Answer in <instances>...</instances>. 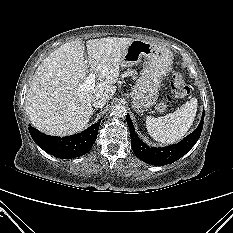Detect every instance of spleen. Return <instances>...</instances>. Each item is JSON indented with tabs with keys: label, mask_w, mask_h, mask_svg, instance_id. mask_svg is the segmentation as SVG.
I'll use <instances>...</instances> for the list:
<instances>
[{
	"label": "spleen",
	"mask_w": 233,
	"mask_h": 233,
	"mask_svg": "<svg viewBox=\"0 0 233 233\" xmlns=\"http://www.w3.org/2000/svg\"><path fill=\"white\" fill-rule=\"evenodd\" d=\"M197 106V99L192 98L173 113L158 118L147 116L146 128L149 135L163 144L179 141L192 126Z\"/></svg>",
	"instance_id": "1"
}]
</instances>
